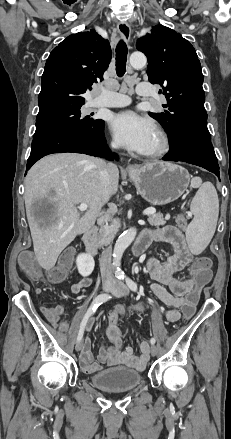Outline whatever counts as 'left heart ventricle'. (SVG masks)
<instances>
[{"mask_svg": "<svg viewBox=\"0 0 231 439\" xmlns=\"http://www.w3.org/2000/svg\"><path fill=\"white\" fill-rule=\"evenodd\" d=\"M158 143H159V138H158L157 133L155 132V134H154V136H153V138H152V140H151L150 144L148 145L145 152L154 150L158 146Z\"/></svg>", "mask_w": 231, "mask_h": 439, "instance_id": "obj_1", "label": "left heart ventricle"}]
</instances>
